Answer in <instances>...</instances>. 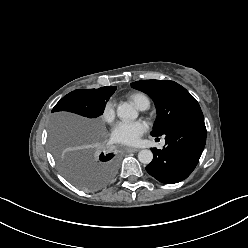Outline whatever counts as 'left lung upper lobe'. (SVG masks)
<instances>
[{
	"mask_svg": "<svg viewBox=\"0 0 248 248\" xmlns=\"http://www.w3.org/2000/svg\"><path fill=\"white\" fill-rule=\"evenodd\" d=\"M132 87L148 94L157 108V120L151 135L166 134L191 114L202 112L196 99L181 85L170 80H141Z\"/></svg>",
	"mask_w": 248,
	"mask_h": 248,
	"instance_id": "5c2ea615",
	"label": "left lung upper lobe"
}]
</instances>
